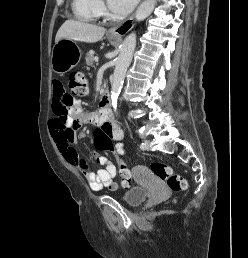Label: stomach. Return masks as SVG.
Returning a JSON list of instances; mask_svg holds the SVG:
<instances>
[{"mask_svg": "<svg viewBox=\"0 0 248 258\" xmlns=\"http://www.w3.org/2000/svg\"><path fill=\"white\" fill-rule=\"evenodd\" d=\"M110 39L116 40L114 37H110ZM81 56V50L74 40L61 39L52 49V70L58 74L67 73L79 63Z\"/></svg>", "mask_w": 248, "mask_h": 258, "instance_id": "stomach-1", "label": "stomach"}]
</instances>
